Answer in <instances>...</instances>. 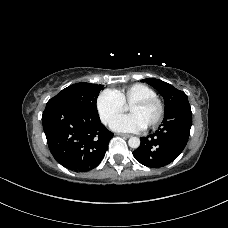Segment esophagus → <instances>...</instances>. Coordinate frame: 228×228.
Masks as SVG:
<instances>
[{"label":"esophagus","mask_w":228,"mask_h":228,"mask_svg":"<svg viewBox=\"0 0 228 228\" xmlns=\"http://www.w3.org/2000/svg\"><path fill=\"white\" fill-rule=\"evenodd\" d=\"M118 135L121 136V137H125V138L131 137L130 134H124V133H119Z\"/></svg>","instance_id":"1"}]
</instances>
